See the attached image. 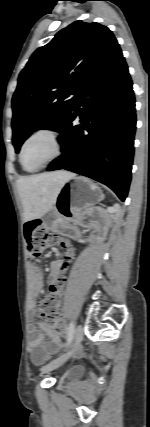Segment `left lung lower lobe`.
Instances as JSON below:
<instances>
[{
	"label": "left lung lower lobe",
	"mask_w": 150,
	"mask_h": 427,
	"mask_svg": "<svg viewBox=\"0 0 150 427\" xmlns=\"http://www.w3.org/2000/svg\"><path fill=\"white\" fill-rule=\"evenodd\" d=\"M81 106V108H80ZM79 116L80 122L74 123ZM135 97L118 48L90 77L60 127L62 155L47 171L66 169L110 187L124 201L131 181Z\"/></svg>",
	"instance_id": "left-lung-lower-lobe-1"
}]
</instances>
